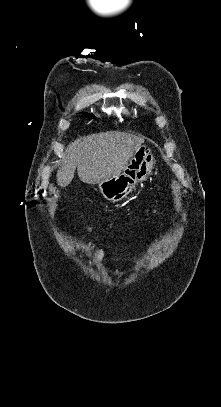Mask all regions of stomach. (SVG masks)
<instances>
[{
    "label": "stomach",
    "mask_w": 221,
    "mask_h": 407,
    "mask_svg": "<svg viewBox=\"0 0 221 407\" xmlns=\"http://www.w3.org/2000/svg\"><path fill=\"white\" fill-rule=\"evenodd\" d=\"M153 165L152 150L145 145L140 146L118 175L98 183L99 192L106 200L119 202L126 198L138 183L148 178Z\"/></svg>",
    "instance_id": "0dacf381"
}]
</instances>
